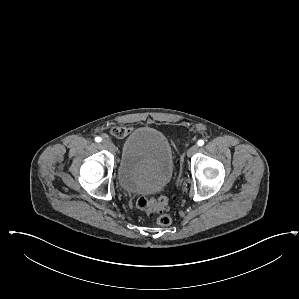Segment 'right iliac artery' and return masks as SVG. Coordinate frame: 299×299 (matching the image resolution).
<instances>
[{
  "label": "right iliac artery",
  "instance_id": "1",
  "mask_svg": "<svg viewBox=\"0 0 299 299\" xmlns=\"http://www.w3.org/2000/svg\"><path fill=\"white\" fill-rule=\"evenodd\" d=\"M95 141H96V142H101L102 139H101L100 137H95Z\"/></svg>",
  "mask_w": 299,
  "mask_h": 299
}]
</instances>
